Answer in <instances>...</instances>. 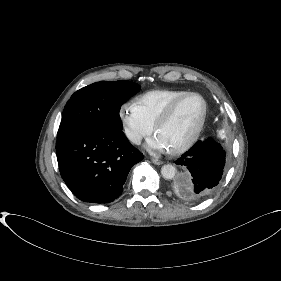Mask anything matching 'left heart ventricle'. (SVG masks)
<instances>
[{
    "instance_id": "left-heart-ventricle-1",
    "label": "left heart ventricle",
    "mask_w": 281,
    "mask_h": 281,
    "mask_svg": "<svg viewBox=\"0 0 281 281\" xmlns=\"http://www.w3.org/2000/svg\"><path fill=\"white\" fill-rule=\"evenodd\" d=\"M203 104L197 97H188L175 109L169 120L159 129L157 137L168 150L185 143L201 120Z\"/></svg>"
}]
</instances>
